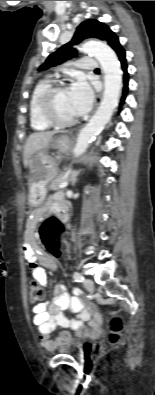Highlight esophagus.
Here are the masks:
<instances>
[{"label": "esophagus", "instance_id": "1", "mask_svg": "<svg viewBox=\"0 0 155 395\" xmlns=\"http://www.w3.org/2000/svg\"><path fill=\"white\" fill-rule=\"evenodd\" d=\"M100 100H101V96H98L97 99H96V105L99 104Z\"/></svg>", "mask_w": 155, "mask_h": 395}]
</instances>
